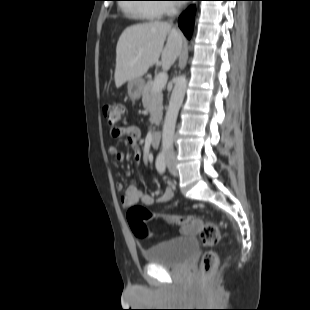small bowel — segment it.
<instances>
[{
  "instance_id": "small-bowel-1",
  "label": "small bowel",
  "mask_w": 310,
  "mask_h": 310,
  "mask_svg": "<svg viewBox=\"0 0 310 310\" xmlns=\"http://www.w3.org/2000/svg\"><path fill=\"white\" fill-rule=\"evenodd\" d=\"M111 133L113 137L125 138L127 142L135 148V153L133 155V161L135 164L139 165L143 159L142 153L138 148L140 141V131L136 126H125L112 128ZM108 152L115 157L119 162L125 160V153L120 150L116 145L111 144L108 146ZM118 190L123 189V184L118 182L116 184ZM174 198V192L172 189L167 188L161 194L155 196L149 193H143L140 191L135 182H131L125 189L124 194L121 196L120 201L124 207H130L138 202L146 206L153 205L154 203H166ZM182 231L184 233L190 234L192 231L188 227H183Z\"/></svg>"
}]
</instances>
